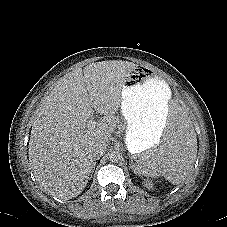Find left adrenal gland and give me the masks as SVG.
Instances as JSON below:
<instances>
[{"instance_id": "a2214340", "label": "left adrenal gland", "mask_w": 227, "mask_h": 227, "mask_svg": "<svg viewBox=\"0 0 227 227\" xmlns=\"http://www.w3.org/2000/svg\"><path fill=\"white\" fill-rule=\"evenodd\" d=\"M130 168L134 170V172L136 171V167H135V164L133 163V159L131 158V161H130Z\"/></svg>"}]
</instances>
